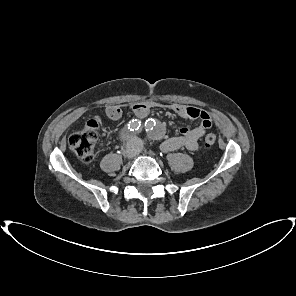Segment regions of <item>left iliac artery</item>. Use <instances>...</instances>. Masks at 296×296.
I'll return each instance as SVG.
<instances>
[{
  "label": "left iliac artery",
  "instance_id": "44dca946",
  "mask_svg": "<svg viewBox=\"0 0 296 296\" xmlns=\"http://www.w3.org/2000/svg\"><path fill=\"white\" fill-rule=\"evenodd\" d=\"M149 123H145V127L148 128ZM152 129V128H151ZM147 130V129H146Z\"/></svg>",
  "mask_w": 296,
  "mask_h": 296
}]
</instances>
